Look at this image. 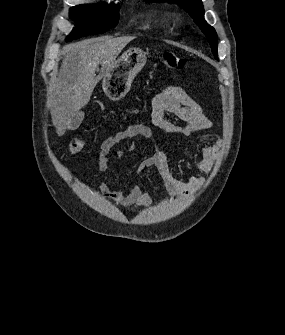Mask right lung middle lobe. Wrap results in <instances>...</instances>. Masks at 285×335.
<instances>
[{"instance_id": "1", "label": "right lung middle lobe", "mask_w": 285, "mask_h": 335, "mask_svg": "<svg viewBox=\"0 0 285 335\" xmlns=\"http://www.w3.org/2000/svg\"><path fill=\"white\" fill-rule=\"evenodd\" d=\"M119 6L116 5H78L70 9V17L76 27L66 38L72 41L87 35L101 34L114 28L119 19Z\"/></svg>"}]
</instances>
